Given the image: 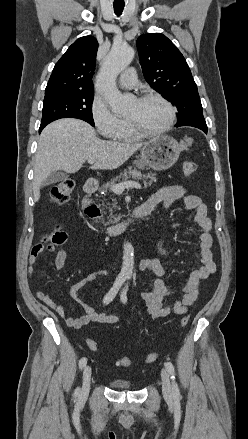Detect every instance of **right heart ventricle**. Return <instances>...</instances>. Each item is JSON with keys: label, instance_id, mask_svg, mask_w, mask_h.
Returning a JSON list of instances; mask_svg holds the SVG:
<instances>
[{"label": "right heart ventricle", "instance_id": "e07e8e85", "mask_svg": "<svg viewBox=\"0 0 248 439\" xmlns=\"http://www.w3.org/2000/svg\"><path fill=\"white\" fill-rule=\"evenodd\" d=\"M114 139L118 142H137L141 139V136L131 129L127 120H123L122 127Z\"/></svg>", "mask_w": 248, "mask_h": 439}]
</instances>
